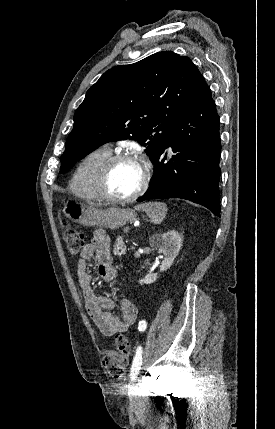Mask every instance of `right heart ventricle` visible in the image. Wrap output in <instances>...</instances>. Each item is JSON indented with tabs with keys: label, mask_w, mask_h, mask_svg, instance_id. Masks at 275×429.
<instances>
[{
	"label": "right heart ventricle",
	"mask_w": 275,
	"mask_h": 429,
	"mask_svg": "<svg viewBox=\"0 0 275 429\" xmlns=\"http://www.w3.org/2000/svg\"><path fill=\"white\" fill-rule=\"evenodd\" d=\"M112 154L109 147H99L88 153L77 165L69 182L70 190L84 200H98L95 177L101 164Z\"/></svg>",
	"instance_id": "right-heart-ventricle-1"
}]
</instances>
